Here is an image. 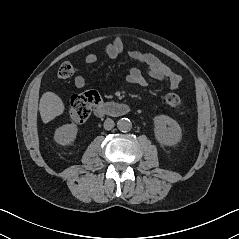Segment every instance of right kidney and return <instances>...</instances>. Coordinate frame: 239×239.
Here are the masks:
<instances>
[{"mask_svg":"<svg viewBox=\"0 0 239 239\" xmlns=\"http://www.w3.org/2000/svg\"><path fill=\"white\" fill-rule=\"evenodd\" d=\"M78 128L75 124H65L56 129L54 139L61 145H68L76 138Z\"/></svg>","mask_w":239,"mask_h":239,"instance_id":"ca27d5eb","label":"right kidney"}]
</instances>
